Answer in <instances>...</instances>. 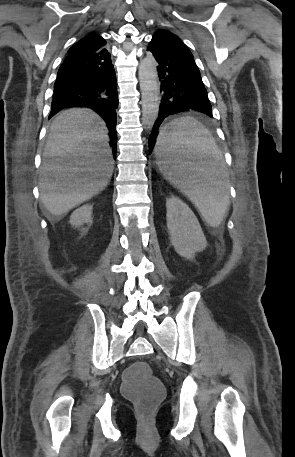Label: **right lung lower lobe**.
<instances>
[{
    "label": "right lung lower lobe",
    "instance_id": "obj_1",
    "mask_svg": "<svg viewBox=\"0 0 295 457\" xmlns=\"http://www.w3.org/2000/svg\"><path fill=\"white\" fill-rule=\"evenodd\" d=\"M74 106L92 108L105 120L110 131V144L116 152L117 81L107 49L67 56L60 66L49 118L63 108Z\"/></svg>",
    "mask_w": 295,
    "mask_h": 457
}]
</instances>
